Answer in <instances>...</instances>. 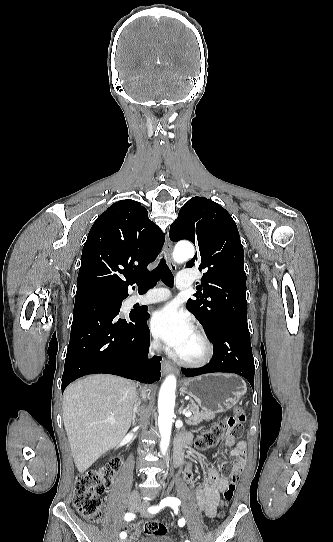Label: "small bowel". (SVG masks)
Here are the masks:
<instances>
[{
	"mask_svg": "<svg viewBox=\"0 0 333 542\" xmlns=\"http://www.w3.org/2000/svg\"><path fill=\"white\" fill-rule=\"evenodd\" d=\"M190 440H185L184 444H189L193 438L191 433ZM225 445L231 449V456L235 459H243L246 452V442L244 440H236L231 437H226L224 441ZM179 448V446H177ZM183 449V446H181ZM192 478V464L188 463L183 473L184 481L188 482ZM230 484H236L232 479L228 480L225 477L220 476L217 468L214 465L209 466L207 478L205 482L195 489V501L197 508L203 511L209 518H213L216 515V511L222 503L221 493L224 492ZM125 529L132 530V535L129 536L127 542H137V537L141 531L140 523L133 525L125 524Z\"/></svg>",
	"mask_w": 333,
	"mask_h": 542,
	"instance_id": "obj_1",
	"label": "small bowel"
}]
</instances>
